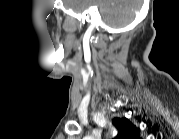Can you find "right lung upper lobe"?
Returning <instances> with one entry per match:
<instances>
[{"label": "right lung upper lobe", "mask_w": 179, "mask_h": 139, "mask_svg": "<svg viewBox=\"0 0 179 139\" xmlns=\"http://www.w3.org/2000/svg\"><path fill=\"white\" fill-rule=\"evenodd\" d=\"M112 122L118 130L117 139H138L139 129L126 118H115Z\"/></svg>", "instance_id": "1"}]
</instances>
